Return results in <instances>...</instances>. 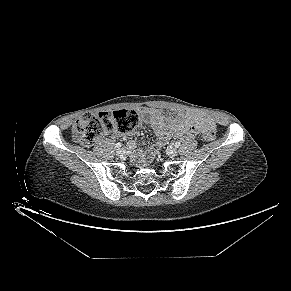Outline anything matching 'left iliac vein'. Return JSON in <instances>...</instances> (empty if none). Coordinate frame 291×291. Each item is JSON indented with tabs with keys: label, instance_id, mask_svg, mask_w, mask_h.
<instances>
[{
	"label": "left iliac vein",
	"instance_id": "obj_1",
	"mask_svg": "<svg viewBox=\"0 0 291 291\" xmlns=\"http://www.w3.org/2000/svg\"><path fill=\"white\" fill-rule=\"evenodd\" d=\"M166 153L168 156L170 157H175L177 154H178V151L176 148L174 147H169L167 150H166Z\"/></svg>",
	"mask_w": 291,
	"mask_h": 291
}]
</instances>
